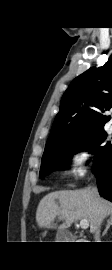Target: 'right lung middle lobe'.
Here are the masks:
<instances>
[{
	"mask_svg": "<svg viewBox=\"0 0 112 270\" xmlns=\"http://www.w3.org/2000/svg\"><path fill=\"white\" fill-rule=\"evenodd\" d=\"M107 134L104 128L96 129L75 140L49 145L45 147L40 168V177L43 178L48 173L62 170L68 167L73 153L78 151H90L94 148L95 158L93 161V171L97 170L104 162L107 153L112 149V144L108 142L104 146H99L106 139Z\"/></svg>",
	"mask_w": 112,
	"mask_h": 270,
	"instance_id": "dd1d6c3e",
	"label": "right lung middle lobe"
}]
</instances>
